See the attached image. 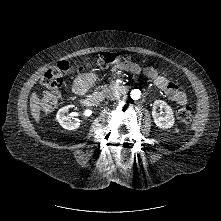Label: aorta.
I'll list each match as a JSON object with an SVG mask.
<instances>
[{
	"label": "aorta",
	"instance_id": "obj_1",
	"mask_svg": "<svg viewBox=\"0 0 221 221\" xmlns=\"http://www.w3.org/2000/svg\"><path fill=\"white\" fill-rule=\"evenodd\" d=\"M141 96V92L138 89H134L131 91V98H133L134 100H138Z\"/></svg>",
	"mask_w": 221,
	"mask_h": 221
}]
</instances>
